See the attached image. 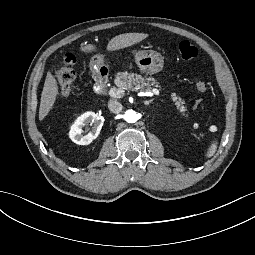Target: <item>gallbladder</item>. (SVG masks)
Masks as SVG:
<instances>
[{
  "label": "gallbladder",
  "mask_w": 255,
  "mask_h": 255,
  "mask_svg": "<svg viewBox=\"0 0 255 255\" xmlns=\"http://www.w3.org/2000/svg\"><path fill=\"white\" fill-rule=\"evenodd\" d=\"M60 63H61L62 65H66V62H65L64 60H62V59H60Z\"/></svg>",
  "instance_id": "bac80fb5"
}]
</instances>
